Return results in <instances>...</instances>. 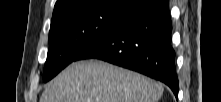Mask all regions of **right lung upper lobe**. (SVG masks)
<instances>
[{
    "label": "right lung upper lobe",
    "instance_id": "1",
    "mask_svg": "<svg viewBox=\"0 0 221 102\" xmlns=\"http://www.w3.org/2000/svg\"><path fill=\"white\" fill-rule=\"evenodd\" d=\"M83 1L85 0H57L55 7H54L53 15H56L60 12L71 9L79 5ZM128 1L132 6L138 9L141 6H143L145 3H147L149 0H128Z\"/></svg>",
    "mask_w": 221,
    "mask_h": 102
}]
</instances>
